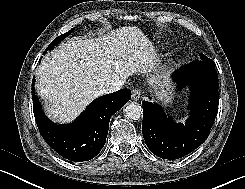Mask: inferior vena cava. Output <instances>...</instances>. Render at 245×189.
I'll use <instances>...</instances> for the list:
<instances>
[{
	"instance_id": "602c4592",
	"label": "inferior vena cava",
	"mask_w": 245,
	"mask_h": 189,
	"mask_svg": "<svg viewBox=\"0 0 245 189\" xmlns=\"http://www.w3.org/2000/svg\"><path fill=\"white\" fill-rule=\"evenodd\" d=\"M123 84H124V81H121V80L113 82L109 87L103 89L102 93L108 94V93L118 91L122 87Z\"/></svg>"
}]
</instances>
